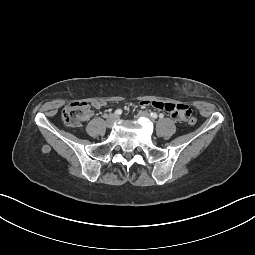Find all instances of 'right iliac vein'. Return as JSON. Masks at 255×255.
I'll list each match as a JSON object with an SVG mask.
<instances>
[{"instance_id": "63e3f726", "label": "right iliac vein", "mask_w": 255, "mask_h": 255, "mask_svg": "<svg viewBox=\"0 0 255 255\" xmlns=\"http://www.w3.org/2000/svg\"><path fill=\"white\" fill-rule=\"evenodd\" d=\"M118 116L116 114H111L108 116L107 120H106V125L108 128H111L114 123L117 121Z\"/></svg>"}]
</instances>
